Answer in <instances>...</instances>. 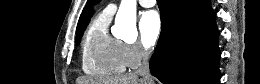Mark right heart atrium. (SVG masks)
Returning a JSON list of instances; mask_svg holds the SVG:
<instances>
[{"label":"right heart atrium","instance_id":"d8ad5b80","mask_svg":"<svg viewBox=\"0 0 260 84\" xmlns=\"http://www.w3.org/2000/svg\"><path fill=\"white\" fill-rule=\"evenodd\" d=\"M122 54L126 66L131 68L139 66L148 56L147 50L138 43H123Z\"/></svg>","mask_w":260,"mask_h":84}]
</instances>
